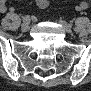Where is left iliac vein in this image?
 Instances as JSON below:
<instances>
[{
  "label": "left iliac vein",
  "instance_id": "1",
  "mask_svg": "<svg viewBox=\"0 0 91 91\" xmlns=\"http://www.w3.org/2000/svg\"><path fill=\"white\" fill-rule=\"evenodd\" d=\"M59 23L61 24V26L63 27V29L67 32V33H71L72 32V28H69L67 26V22L64 20H59Z\"/></svg>",
  "mask_w": 91,
  "mask_h": 91
}]
</instances>
